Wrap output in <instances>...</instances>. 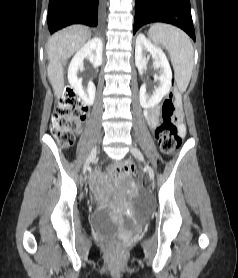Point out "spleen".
Listing matches in <instances>:
<instances>
[{"label":"spleen","instance_id":"obj_1","mask_svg":"<svg viewBox=\"0 0 238 278\" xmlns=\"http://www.w3.org/2000/svg\"><path fill=\"white\" fill-rule=\"evenodd\" d=\"M148 37L169 52L177 87L180 92H184L190 82L194 65V50L189 36L177 27L156 23L149 29Z\"/></svg>","mask_w":238,"mask_h":278}]
</instances>
